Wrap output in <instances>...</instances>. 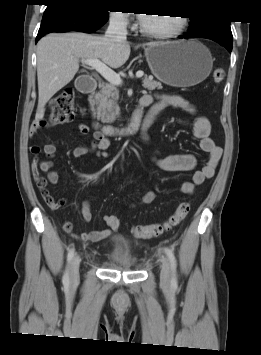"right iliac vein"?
Returning a JSON list of instances; mask_svg holds the SVG:
<instances>
[{"mask_svg": "<svg viewBox=\"0 0 261 355\" xmlns=\"http://www.w3.org/2000/svg\"><path fill=\"white\" fill-rule=\"evenodd\" d=\"M79 266L80 257L78 255L74 256L70 265V285L76 286L79 281Z\"/></svg>", "mask_w": 261, "mask_h": 355, "instance_id": "1", "label": "right iliac vein"}]
</instances>
